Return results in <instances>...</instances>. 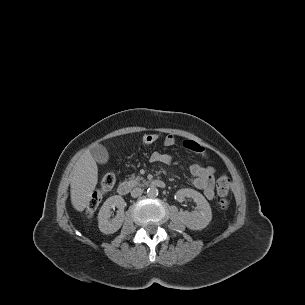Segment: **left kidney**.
Returning <instances> with one entry per match:
<instances>
[{
  "mask_svg": "<svg viewBox=\"0 0 305 305\" xmlns=\"http://www.w3.org/2000/svg\"><path fill=\"white\" fill-rule=\"evenodd\" d=\"M179 202H183L185 198H191L197 204L196 210L193 212L180 211L178 217L180 221L191 230H202L209 225L212 220V211L205 197L190 188L180 189L176 193Z\"/></svg>",
  "mask_w": 305,
  "mask_h": 305,
  "instance_id": "1",
  "label": "left kidney"
}]
</instances>
